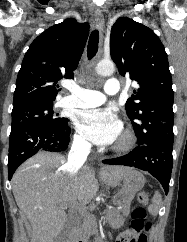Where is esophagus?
Returning a JSON list of instances; mask_svg holds the SVG:
<instances>
[{"label":"esophagus","mask_w":187,"mask_h":242,"mask_svg":"<svg viewBox=\"0 0 187 242\" xmlns=\"http://www.w3.org/2000/svg\"><path fill=\"white\" fill-rule=\"evenodd\" d=\"M95 24L100 32V40L102 41L104 28H105V21L101 12L95 13Z\"/></svg>","instance_id":"esophagus-1"}]
</instances>
